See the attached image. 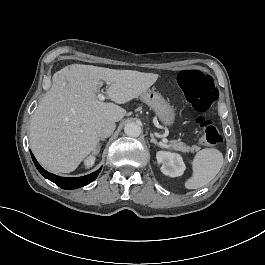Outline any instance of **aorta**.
<instances>
[{
	"instance_id": "762f6f07",
	"label": "aorta",
	"mask_w": 265,
	"mask_h": 265,
	"mask_svg": "<svg viewBox=\"0 0 265 265\" xmlns=\"http://www.w3.org/2000/svg\"><path fill=\"white\" fill-rule=\"evenodd\" d=\"M124 132L129 137H138L141 134V127L135 122H130L125 125Z\"/></svg>"
}]
</instances>
